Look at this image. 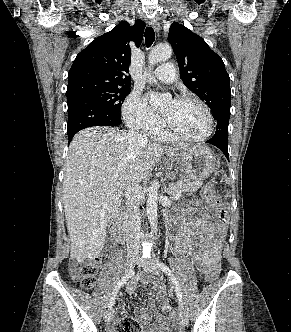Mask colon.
Instances as JSON below:
<instances>
[{
  "label": "colon",
  "instance_id": "obj_1",
  "mask_svg": "<svg viewBox=\"0 0 291 332\" xmlns=\"http://www.w3.org/2000/svg\"><path fill=\"white\" fill-rule=\"evenodd\" d=\"M203 195L206 201L215 210L218 224L221 228H225L228 223V211L220 196L217 194L212 183H207L203 189ZM99 259L79 265L73 263L71 271L73 276L80 281V284L85 289H90L94 286L97 274V264ZM220 273L219 261L210 264L205 274L209 281H214ZM114 332H143L142 325L132 317H124L120 319L114 326Z\"/></svg>",
  "mask_w": 291,
  "mask_h": 332
}]
</instances>
